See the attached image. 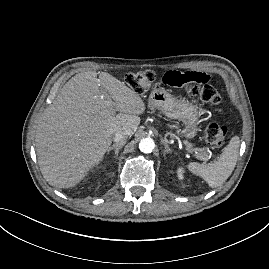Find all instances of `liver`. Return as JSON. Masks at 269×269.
Returning <instances> with one entry per match:
<instances>
[{"label": "liver", "mask_w": 269, "mask_h": 269, "mask_svg": "<svg viewBox=\"0 0 269 269\" xmlns=\"http://www.w3.org/2000/svg\"><path fill=\"white\" fill-rule=\"evenodd\" d=\"M145 109L139 94L109 73L76 74L37 125L35 146L43 177L57 188L74 187L102 161L117 131L134 133Z\"/></svg>", "instance_id": "6515ba94"}]
</instances>
